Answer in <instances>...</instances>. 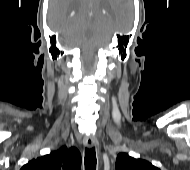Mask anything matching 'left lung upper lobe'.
I'll use <instances>...</instances> for the list:
<instances>
[{
  "instance_id": "obj_1",
  "label": "left lung upper lobe",
  "mask_w": 190,
  "mask_h": 170,
  "mask_svg": "<svg viewBox=\"0 0 190 170\" xmlns=\"http://www.w3.org/2000/svg\"><path fill=\"white\" fill-rule=\"evenodd\" d=\"M116 170H160L150 162L135 159L127 153H120L116 159Z\"/></svg>"
}]
</instances>
